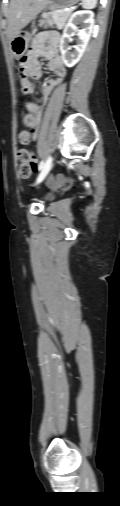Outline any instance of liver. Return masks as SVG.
Instances as JSON below:
<instances>
[{"label":"liver","mask_w":120,"mask_h":506,"mask_svg":"<svg viewBox=\"0 0 120 506\" xmlns=\"http://www.w3.org/2000/svg\"><path fill=\"white\" fill-rule=\"evenodd\" d=\"M49 0H11L7 15V37L11 40L21 29L29 24L43 9Z\"/></svg>","instance_id":"6515ba94"}]
</instances>
